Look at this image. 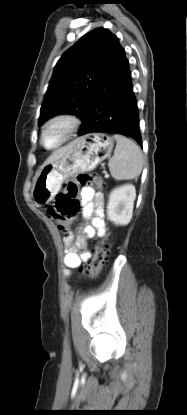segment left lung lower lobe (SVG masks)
Masks as SVG:
<instances>
[{
	"mask_svg": "<svg viewBox=\"0 0 187 415\" xmlns=\"http://www.w3.org/2000/svg\"><path fill=\"white\" fill-rule=\"evenodd\" d=\"M90 101L96 112L82 120L80 136L94 132L122 134L133 138L142 147L129 61L118 40L96 82Z\"/></svg>",
	"mask_w": 187,
	"mask_h": 415,
	"instance_id": "0a47b994",
	"label": "left lung lower lobe"
}]
</instances>
